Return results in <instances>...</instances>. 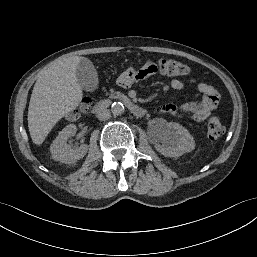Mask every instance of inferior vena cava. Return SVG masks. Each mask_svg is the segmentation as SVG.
<instances>
[{"instance_id":"1","label":"inferior vena cava","mask_w":257,"mask_h":257,"mask_svg":"<svg viewBox=\"0 0 257 257\" xmlns=\"http://www.w3.org/2000/svg\"><path fill=\"white\" fill-rule=\"evenodd\" d=\"M111 117V112L109 109L101 108L97 112V118L101 121H105L110 119Z\"/></svg>"}]
</instances>
